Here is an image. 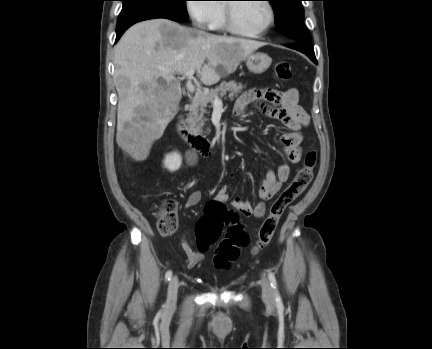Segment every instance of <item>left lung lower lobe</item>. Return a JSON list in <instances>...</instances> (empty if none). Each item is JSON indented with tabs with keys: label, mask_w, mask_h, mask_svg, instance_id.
Masks as SVG:
<instances>
[{
	"label": "left lung lower lobe",
	"mask_w": 432,
	"mask_h": 349,
	"mask_svg": "<svg viewBox=\"0 0 432 349\" xmlns=\"http://www.w3.org/2000/svg\"><path fill=\"white\" fill-rule=\"evenodd\" d=\"M289 48L298 50L300 52L305 53L315 64H317V60L315 58L314 50L311 45V42H293L292 44L286 45Z\"/></svg>",
	"instance_id": "obj_1"
}]
</instances>
